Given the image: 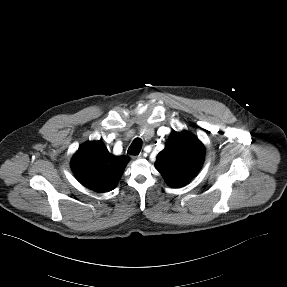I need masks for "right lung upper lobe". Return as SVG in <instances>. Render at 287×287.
<instances>
[{
    "label": "right lung upper lobe",
    "mask_w": 287,
    "mask_h": 287,
    "mask_svg": "<svg viewBox=\"0 0 287 287\" xmlns=\"http://www.w3.org/2000/svg\"><path fill=\"white\" fill-rule=\"evenodd\" d=\"M129 159L110 154L102 141L80 146L71 161V169L78 181L96 192L113 190Z\"/></svg>",
    "instance_id": "cb5924a9"
}]
</instances>
